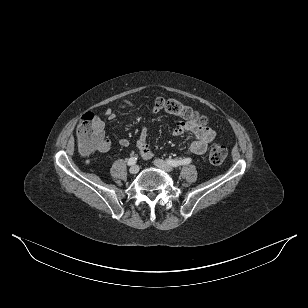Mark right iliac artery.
<instances>
[{
	"label": "right iliac artery",
	"instance_id": "obj_1",
	"mask_svg": "<svg viewBox=\"0 0 308 308\" xmlns=\"http://www.w3.org/2000/svg\"><path fill=\"white\" fill-rule=\"evenodd\" d=\"M137 162V158L136 157H131L128 159L127 164L128 165H134Z\"/></svg>",
	"mask_w": 308,
	"mask_h": 308
}]
</instances>
